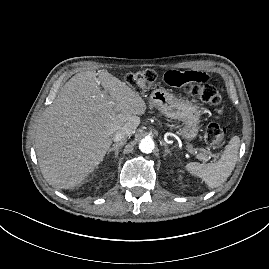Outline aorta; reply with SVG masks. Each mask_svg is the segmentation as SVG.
<instances>
[{
  "label": "aorta",
  "instance_id": "762f6f07",
  "mask_svg": "<svg viewBox=\"0 0 269 269\" xmlns=\"http://www.w3.org/2000/svg\"><path fill=\"white\" fill-rule=\"evenodd\" d=\"M155 148L153 139L146 137L142 139L139 143V149L143 153H151Z\"/></svg>",
  "mask_w": 269,
  "mask_h": 269
}]
</instances>
